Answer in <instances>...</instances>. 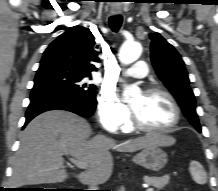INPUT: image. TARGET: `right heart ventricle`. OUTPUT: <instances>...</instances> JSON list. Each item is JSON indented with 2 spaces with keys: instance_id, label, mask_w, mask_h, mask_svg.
Instances as JSON below:
<instances>
[{
  "instance_id": "right-heart-ventricle-1",
  "label": "right heart ventricle",
  "mask_w": 218,
  "mask_h": 191,
  "mask_svg": "<svg viewBox=\"0 0 218 191\" xmlns=\"http://www.w3.org/2000/svg\"><path fill=\"white\" fill-rule=\"evenodd\" d=\"M130 129H131V126L128 123L123 127L124 131H129Z\"/></svg>"
}]
</instances>
